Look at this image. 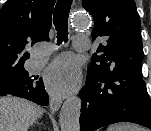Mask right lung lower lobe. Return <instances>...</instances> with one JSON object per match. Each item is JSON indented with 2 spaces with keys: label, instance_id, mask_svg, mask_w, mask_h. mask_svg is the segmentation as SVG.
Wrapping results in <instances>:
<instances>
[{
  "label": "right lung lower lobe",
  "instance_id": "1",
  "mask_svg": "<svg viewBox=\"0 0 151 131\" xmlns=\"http://www.w3.org/2000/svg\"><path fill=\"white\" fill-rule=\"evenodd\" d=\"M36 79V77L28 76L24 80L12 85L3 86V83H0V95L11 94L46 106L49 103L48 94L44 89L42 79L35 81Z\"/></svg>",
  "mask_w": 151,
  "mask_h": 131
}]
</instances>
